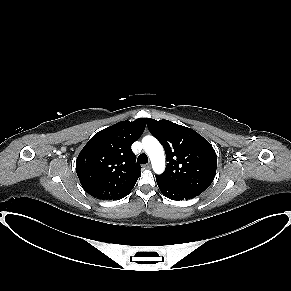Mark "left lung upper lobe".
<instances>
[{
	"instance_id": "1",
	"label": "left lung upper lobe",
	"mask_w": 291,
	"mask_h": 291,
	"mask_svg": "<svg viewBox=\"0 0 291 291\" xmlns=\"http://www.w3.org/2000/svg\"><path fill=\"white\" fill-rule=\"evenodd\" d=\"M149 131L162 143L168 161L157 175L175 187L201 194L214 180L217 156L196 131L168 120L147 119Z\"/></svg>"
}]
</instances>
